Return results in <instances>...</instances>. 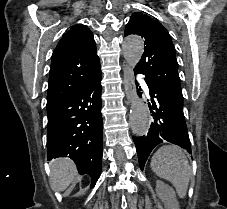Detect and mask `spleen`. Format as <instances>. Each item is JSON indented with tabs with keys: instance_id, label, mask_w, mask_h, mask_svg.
I'll return each mask as SVG.
<instances>
[{
	"instance_id": "1",
	"label": "spleen",
	"mask_w": 227,
	"mask_h": 209,
	"mask_svg": "<svg viewBox=\"0 0 227 209\" xmlns=\"http://www.w3.org/2000/svg\"><path fill=\"white\" fill-rule=\"evenodd\" d=\"M150 165L157 177L172 183L180 199L186 197L191 169L188 159L180 147L164 145L154 153Z\"/></svg>"
}]
</instances>
